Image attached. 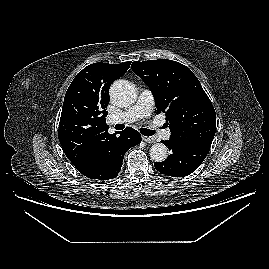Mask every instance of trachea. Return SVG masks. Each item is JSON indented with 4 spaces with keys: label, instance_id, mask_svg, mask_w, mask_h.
<instances>
[{
    "label": "trachea",
    "instance_id": "1",
    "mask_svg": "<svg viewBox=\"0 0 269 269\" xmlns=\"http://www.w3.org/2000/svg\"><path fill=\"white\" fill-rule=\"evenodd\" d=\"M114 128L116 130H123L124 129V125L123 124H116L114 126ZM140 132L145 135V136H152L154 135V131L153 130H149V129H146V128H140Z\"/></svg>",
    "mask_w": 269,
    "mask_h": 269
}]
</instances>
